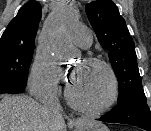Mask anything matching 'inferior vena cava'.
Returning a JSON list of instances; mask_svg holds the SVG:
<instances>
[{"mask_svg": "<svg viewBox=\"0 0 151 131\" xmlns=\"http://www.w3.org/2000/svg\"><path fill=\"white\" fill-rule=\"evenodd\" d=\"M41 103L45 110L53 112L57 117L59 116L61 106L54 91L46 89L41 98Z\"/></svg>", "mask_w": 151, "mask_h": 131, "instance_id": "inferior-vena-cava-1", "label": "inferior vena cava"}]
</instances>
